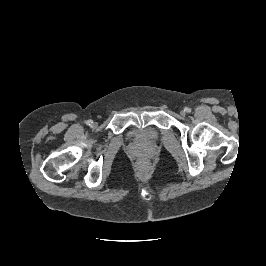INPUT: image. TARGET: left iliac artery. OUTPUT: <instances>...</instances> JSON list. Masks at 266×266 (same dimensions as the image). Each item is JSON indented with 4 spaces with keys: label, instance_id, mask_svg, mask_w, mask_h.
I'll return each instance as SVG.
<instances>
[{
    "label": "left iliac artery",
    "instance_id": "44dca946",
    "mask_svg": "<svg viewBox=\"0 0 266 266\" xmlns=\"http://www.w3.org/2000/svg\"><path fill=\"white\" fill-rule=\"evenodd\" d=\"M185 111H186V112H191V109L188 108V107H186V108H185Z\"/></svg>",
    "mask_w": 266,
    "mask_h": 266
}]
</instances>
